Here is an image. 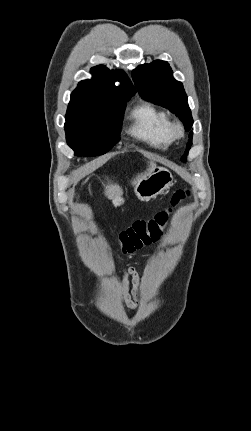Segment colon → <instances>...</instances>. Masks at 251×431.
Here are the masks:
<instances>
[{
	"instance_id": "obj_1",
	"label": "colon",
	"mask_w": 251,
	"mask_h": 431,
	"mask_svg": "<svg viewBox=\"0 0 251 431\" xmlns=\"http://www.w3.org/2000/svg\"><path fill=\"white\" fill-rule=\"evenodd\" d=\"M189 195L187 190H177L171 199L168 209L157 212L148 220H137L131 226L124 229L118 238L122 251L126 254L133 253L143 246L158 241L163 227L167 224L172 210Z\"/></svg>"
}]
</instances>
